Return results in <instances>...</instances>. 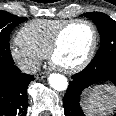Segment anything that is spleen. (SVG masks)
Here are the masks:
<instances>
[{
  "label": "spleen",
  "mask_w": 116,
  "mask_h": 116,
  "mask_svg": "<svg viewBox=\"0 0 116 116\" xmlns=\"http://www.w3.org/2000/svg\"><path fill=\"white\" fill-rule=\"evenodd\" d=\"M116 95L109 86L94 88L84 100V108L88 116H106L116 107Z\"/></svg>",
  "instance_id": "spleen-1"
}]
</instances>
